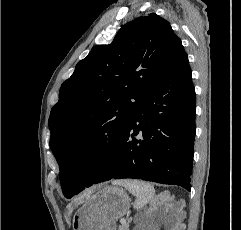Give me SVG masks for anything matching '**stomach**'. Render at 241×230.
I'll return each instance as SVG.
<instances>
[{
    "label": "stomach",
    "mask_w": 241,
    "mask_h": 230,
    "mask_svg": "<svg viewBox=\"0 0 241 230\" xmlns=\"http://www.w3.org/2000/svg\"><path fill=\"white\" fill-rule=\"evenodd\" d=\"M130 208V198L118 186L97 190L75 213L73 230H116V221Z\"/></svg>",
    "instance_id": "stomach-1"
}]
</instances>
